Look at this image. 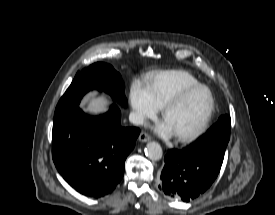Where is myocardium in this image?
<instances>
[{
    "label": "myocardium",
    "mask_w": 275,
    "mask_h": 215,
    "mask_svg": "<svg viewBox=\"0 0 275 215\" xmlns=\"http://www.w3.org/2000/svg\"><path fill=\"white\" fill-rule=\"evenodd\" d=\"M197 89H205L208 92L209 97H210V106H209V109H208L205 117L203 118L201 123L194 130H192L186 134L175 135L176 139L180 142H189V141L195 139L208 126V124L212 118V115L214 113V110H215V98H214V95H213L211 89L208 86L201 84V83L187 86V87L183 88L182 90H180L172 98H170L162 108V116L165 119L170 110H172L174 107H176L188 94H190L191 92H193Z\"/></svg>",
    "instance_id": "obj_1"
}]
</instances>
